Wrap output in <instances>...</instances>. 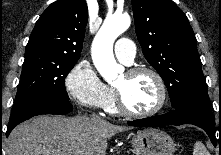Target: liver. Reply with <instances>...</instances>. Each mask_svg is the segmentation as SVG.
Here are the masks:
<instances>
[{
    "label": "liver",
    "mask_w": 221,
    "mask_h": 155,
    "mask_svg": "<svg viewBox=\"0 0 221 155\" xmlns=\"http://www.w3.org/2000/svg\"><path fill=\"white\" fill-rule=\"evenodd\" d=\"M128 129L87 116H38L14 128L4 155H105L107 139Z\"/></svg>",
    "instance_id": "liver-1"
}]
</instances>
